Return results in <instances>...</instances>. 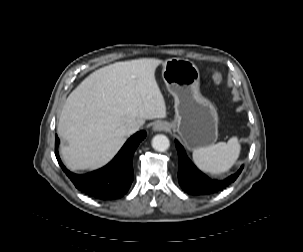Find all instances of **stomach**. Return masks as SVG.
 I'll return each mask as SVG.
<instances>
[{
	"instance_id": "stomach-1",
	"label": "stomach",
	"mask_w": 303,
	"mask_h": 252,
	"mask_svg": "<svg viewBox=\"0 0 303 252\" xmlns=\"http://www.w3.org/2000/svg\"><path fill=\"white\" fill-rule=\"evenodd\" d=\"M162 78L175 99V119L170 124L189 150L209 147L218 138V114L200 93L197 66L185 59L170 58L162 63Z\"/></svg>"
}]
</instances>
